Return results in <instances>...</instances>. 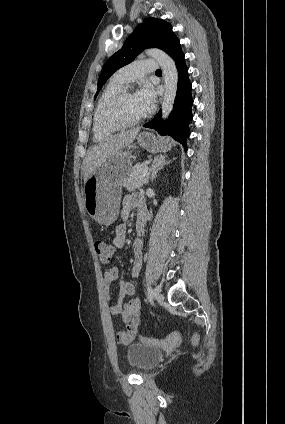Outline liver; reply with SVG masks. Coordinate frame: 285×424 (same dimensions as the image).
Returning a JSON list of instances; mask_svg holds the SVG:
<instances>
[{
  "instance_id": "liver-1",
  "label": "liver",
  "mask_w": 285,
  "mask_h": 424,
  "mask_svg": "<svg viewBox=\"0 0 285 424\" xmlns=\"http://www.w3.org/2000/svg\"><path fill=\"white\" fill-rule=\"evenodd\" d=\"M139 129L135 128L126 132L111 135L105 140L91 147L84 159L83 177L84 182L90 175L107 159L113 157L117 152L131 145Z\"/></svg>"
}]
</instances>
